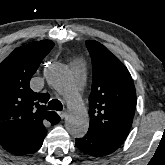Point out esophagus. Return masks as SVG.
<instances>
[{"mask_svg": "<svg viewBox=\"0 0 165 165\" xmlns=\"http://www.w3.org/2000/svg\"><path fill=\"white\" fill-rule=\"evenodd\" d=\"M58 114L63 119L66 116V111H60V112H58Z\"/></svg>", "mask_w": 165, "mask_h": 165, "instance_id": "34e87169", "label": "esophagus"}]
</instances>
